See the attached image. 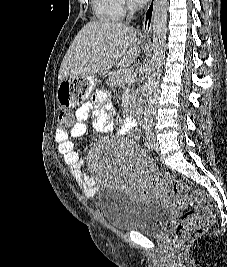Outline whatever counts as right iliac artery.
<instances>
[{"label":"right iliac artery","instance_id":"right-iliac-artery-1","mask_svg":"<svg viewBox=\"0 0 227 267\" xmlns=\"http://www.w3.org/2000/svg\"><path fill=\"white\" fill-rule=\"evenodd\" d=\"M145 141H146V146L149 149H152L153 148V142H152V139H151V133L150 132H147L146 133V135H145Z\"/></svg>","mask_w":227,"mask_h":267}]
</instances>
